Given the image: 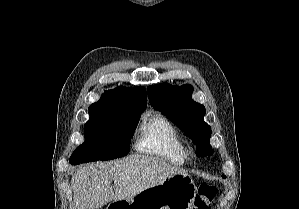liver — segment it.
<instances>
[{
	"instance_id": "liver-1",
	"label": "liver",
	"mask_w": 299,
	"mask_h": 209,
	"mask_svg": "<svg viewBox=\"0 0 299 209\" xmlns=\"http://www.w3.org/2000/svg\"><path fill=\"white\" fill-rule=\"evenodd\" d=\"M174 174L187 175L161 159L138 154L115 162L89 164L72 176L73 209H97L112 200L133 198Z\"/></svg>"
}]
</instances>
